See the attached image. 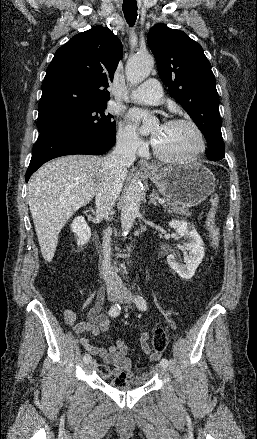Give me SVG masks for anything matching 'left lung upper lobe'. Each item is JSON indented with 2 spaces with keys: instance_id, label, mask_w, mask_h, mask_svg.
<instances>
[{
  "instance_id": "1",
  "label": "left lung upper lobe",
  "mask_w": 257,
  "mask_h": 439,
  "mask_svg": "<svg viewBox=\"0 0 257 439\" xmlns=\"http://www.w3.org/2000/svg\"><path fill=\"white\" fill-rule=\"evenodd\" d=\"M147 42L161 80L205 136L207 158L222 159L225 148L219 97L211 64L201 45L183 31L164 24H156L150 29Z\"/></svg>"
}]
</instances>
